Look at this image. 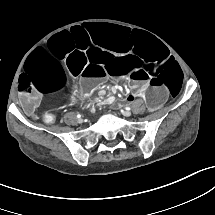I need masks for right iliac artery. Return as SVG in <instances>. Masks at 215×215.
Listing matches in <instances>:
<instances>
[{"label":"right iliac artery","mask_w":215,"mask_h":215,"mask_svg":"<svg viewBox=\"0 0 215 215\" xmlns=\"http://www.w3.org/2000/svg\"><path fill=\"white\" fill-rule=\"evenodd\" d=\"M80 117H81V115H80V114H78V115H77V118H80Z\"/></svg>","instance_id":"82829eb1"}]
</instances>
